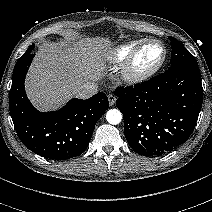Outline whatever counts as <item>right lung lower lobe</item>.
<instances>
[{"label":"right lung lower lobe","mask_w":212,"mask_h":212,"mask_svg":"<svg viewBox=\"0 0 212 212\" xmlns=\"http://www.w3.org/2000/svg\"><path fill=\"white\" fill-rule=\"evenodd\" d=\"M28 49L17 61L9 93V110L22 143L32 152L51 160H67L87 148L95 125L108 109L106 94L72 99L56 112L37 111L28 100L24 80L34 57Z\"/></svg>","instance_id":"98d812e1"}]
</instances>
